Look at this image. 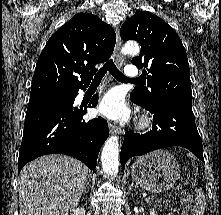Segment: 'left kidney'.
Here are the masks:
<instances>
[{
	"label": "left kidney",
	"mask_w": 221,
	"mask_h": 215,
	"mask_svg": "<svg viewBox=\"0 0 221 215\" xmlns=\"http://www.w3.org/2000/svg\"><path fill=\"white\" fill-rule=\"evenodd\" d=\"M150 215H157V212L154 210V208H152V209L150 210Z\"/></svg>",
	"instance_id": "1"
}]
</instances>
